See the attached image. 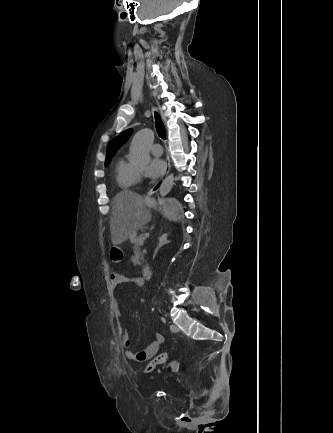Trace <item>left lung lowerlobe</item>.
<instances>
[{
	"mask_svg": "<svg viewBox=\"0 0 333 433\" xmlns=\"http://www.w3.org/2000/svg\"><path fill=\"white\" fill-rule=\"evenodd\" d=\"M165 210H166V213L170 216H173V215H175V213H177L178 207L176 206L174 199H171L168 201V204H167Z\"/></svg>",
	"mask_w": 333,
	"mask_h": 433,
	"instance_id": "1",
	"label": "left lung lower lobe"
}]
</instances>
